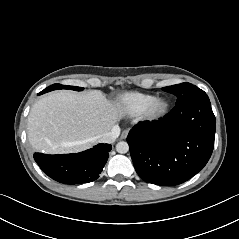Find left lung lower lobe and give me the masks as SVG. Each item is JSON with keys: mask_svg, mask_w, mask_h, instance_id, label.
<instances>
[{"mask_svg": "<svg viewBox=\"0 0 239 239\" xmlns=\"http://www.w3.org/2000/svg\"><path fill=\"white\" fill-rule=\"evenodd\" d=\"M216 120L206 94L176 105L159 121L139 122L127 137L138 175L146 182L181 184L208 162Z\"/></svg>", "mask_w": 239, "mask_h": 239, "instance_id": "left-lung-lower-lobe-1", "label": "left lung lower lobe"}]
</instances>
